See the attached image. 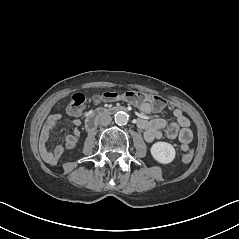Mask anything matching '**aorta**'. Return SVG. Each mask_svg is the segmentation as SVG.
I'll return each mask as SVG.
<instances>
[{"instance_id": "obj_1", "label": "aorta", "mask_w": 239, "mask_h": 239, "mask_svg": "<svg viewBox=\"0 0 239 239\" xmlns=\"http://www.w3.org/2000/svg\"><path fill=\"white\" fill-rule=\"evenodd\" d=\"M115 123L118 125H126L129 120V115L124 111H118L114 115Z\"/></svg>"}]
</instances>
